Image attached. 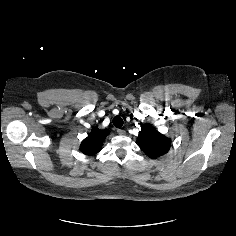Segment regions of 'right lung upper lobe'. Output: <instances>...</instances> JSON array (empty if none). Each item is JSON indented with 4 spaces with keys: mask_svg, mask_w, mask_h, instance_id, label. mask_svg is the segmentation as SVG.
<instances>
[{
    "mask_svg": "<svg viewBox=\"0 0 236 236\" xmlns=\"http://www.w3.org/2000/svg\"><path fill=\"white\" fill-rule=\"evenodd\" d=\"M109 134L107 129L100 130L94 127L87 138H85L81 145L80 150L85 155H94L101 150L102 142Z\"/></svg>",
    "mask_w": 236,
    "mask_h": 236,
    "instance_id": "cb5924a9",
    "label": "right lung upper lobe"
}]
</instances>
